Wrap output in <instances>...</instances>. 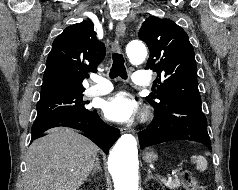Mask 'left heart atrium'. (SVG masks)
I'll return each instance as SVG.
<instances>
[{"instance_id":"39dd6f15","label":"left heart atrium","mask_w":238,"mask_h":190,"mask_svg":"<svg viewBox=\"0 0 238 190\" xmlns=\"http://www.w3.org/2000/svg\"><path fill=\"white\" fill-rule=\"evenodd\" d=\"M102 109L108 120L123 123L137 115L138 104L128 93L119 92L106 99Z\"/></svg>"}]
</instances>
